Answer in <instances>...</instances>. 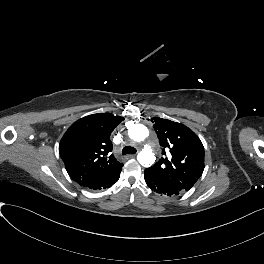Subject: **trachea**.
Returning a JSON list of instances; mask_svg holds the SVG:
<instances>
[{"instance_id": "obj_1", "label": "trachea", "mask_w": 264, "mask_h": 264, "mask_svg": "<svg viewBox=\"0 0 264 264\" xmlns=\"http://www.w3.org/2000/svg\"><path fill=\"white\" fill-rule=\"evenodd\" d=\"M123 155L126 154H135L136 153V149L134 147H130V146H125L122 150Z\"/></svg>"}]
</instances>
